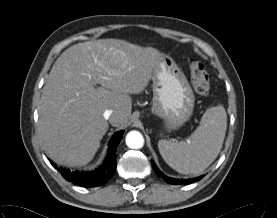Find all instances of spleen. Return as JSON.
Segmentation results:
<instances>
[{
	"label": "spleen",
	"instance_id": "3e777b00",
	"mask_svg": "<svg viewBox=\"0 0 277 218\" xmlns=\"http://www.w3.org/2000/svg\"><path fill=\"white\" fill-rule=\"evenodd\" d=\"M226 128L224 107H210L188 141L159 140V152L165 162L181 174L202 173L221 151Z\"/></svg>",
	"mask_w": 277,
	"mask_h": 218
}]
</instances>
